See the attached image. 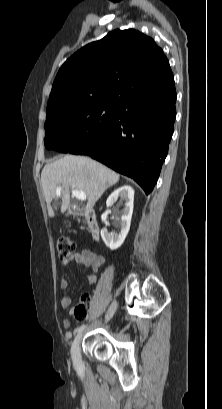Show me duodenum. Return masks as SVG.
<instances>
[{
  "mask_svg": "<svg viewBox=\"0 0 222 409\" xmlns=\"http://www.w3.org/2000/svg\"><path fill=\"white\" fill-rule=\"evenodd\" d=\"M78 211L79 209L74 208V207L70 209L71 214L76 213ZM84 211H85V218H86V224H87L88 231L95 240H98L100 238V229L97 224L95 214L91 209H85Z\"/></svg>",
  "mask_w": 222,
  "mask_h": 409,
  "instance_id": "410a0bca",
  "label": "duodenum"
}]
</instances>
